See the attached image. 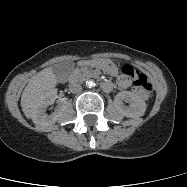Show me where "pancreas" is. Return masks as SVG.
<instances>
[{"mask_svg":"<svg viewBox=\"0 0 187 187\" xmlns=\"http://www.w3.org/2000/svg\"><path fill=\"white\" fill-rule=\"evenodd\" d=\"M74 75L79 81H84L95 76L94 70L88 66L77 68Z\"/></svg>","mask_w":187,"mask_h":187,"instance_id":"cf45deb5","label":"pancreas"}]
</instances>
